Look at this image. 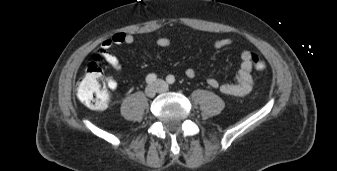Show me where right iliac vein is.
<instances>
[{
    "instance_id": "63e3f726",
    "label": "right iliac vein",
    "mask_w": 337,
    "mask_h": 171,
    "mask_svg": "<svg viewBox=\"0 0 337 171\" xmlns=\"http://www.w3.org/2000/svg\"><path fill=\"white\" fill-rule=\"evenodd\" d=\"M157 92H158V88L155 85H149L145 89V94L150 98L154 97Z\"/></svg>"
}]
</instances>
